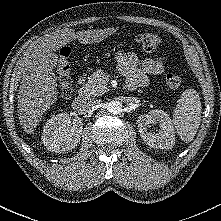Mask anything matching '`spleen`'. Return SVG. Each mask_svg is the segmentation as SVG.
Returning a JSON list of instances; mask_svg holds the SVG:
<instances>
[{"instance_id":"1","label":"spleen","mask_w":221,"mask_h":221,"mask_svg":"<svg viewBox=\"0 0 221 221\" xmlns=\"http://www.w3.org/2000/svg\"><path fill=\"white\" fill-rule=\"evenodd\" d=\"M201 101L194 89L185 90L174 109L173 121L181 139L189 143L193 140L201 122Z\"/></svg>"}]
</instances>
